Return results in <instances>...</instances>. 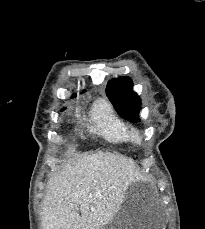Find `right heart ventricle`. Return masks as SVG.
I'll return each mask as SVG.
<instances>
[{
    "instance_id": "1",
    "label": "right heart ventricle",
    "mask_w": 205,
    "mask_h": 229,
    "mask_svg": "<svg viewBox=\"0 0 205 229\" xmlns=\"http://www.w3.org/2000/svg\"><path fill=\"white\" fill-rule=\"evenodd\" d=\"M96 119L95 131L109 142L115 144H127L131 140L132 130L129 124L120 118L106 100H99L94 106Z\"/></svg>"
}]
</instances>
